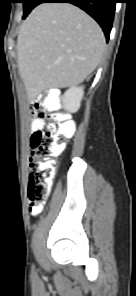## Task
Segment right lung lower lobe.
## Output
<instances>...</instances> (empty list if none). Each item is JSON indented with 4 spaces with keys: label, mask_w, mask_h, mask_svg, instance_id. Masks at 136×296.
I'll list each match as a JSON object with an SVG mask.
<instances>
[{
    "label": "right lung lower lobe",
    "mask_w": 136,
    "mask_h": 296,
    "mask_svg": "<svg viewBox=\"0 0 136 296\" xmlns=\"http://www.w3.org/2000/svg\"><path fill=\"white\" fill-rule=\"evenodd\" d=\"M40 3H71L80 7L99 23L109 40L117 0H39Z\"/></svg>",
    "instance_id": "1"
}]
</instances>
